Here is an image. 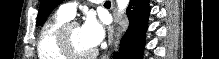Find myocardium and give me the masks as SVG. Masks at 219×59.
Instances as JSON below:
<instances>
[{
  "mask_svg": "<svg viewBox=\"0 0 219 59\" xmlns=\"http://www.w3.org/2000/svg\"><path fill=\"white\" fill-rule=\"evenodd\" d=\"M73 25L78 24L74 21H68L61 27L58 36V47L60 52L63 53L68 59H90L95 57L97 55L96 49H92L91 51L86 53H81L73 48L69 36V30Z\"/></svg>",
  "mask_w": 219,
  "mask_h": 59,
  "instance_id": "myocardium-1",
  "label": "myocardium"
}]
</instances>
